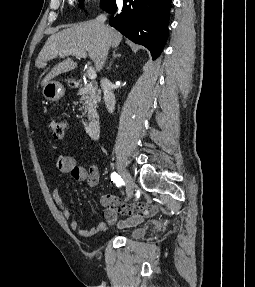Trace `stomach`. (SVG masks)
<instances>
[{
    "label": "stomach",
    "instance_id": "0dacf381",
    "mask_svg": "<svg viewBox=\"0 0 255 287\" xmlns=\"http://www.w3.org/2000/svg\"><path fill=\"white\" fill-rule=\"evenodd\" d=\"M65 94V88L60 82H48L43 88V96L49 102H58Z\"/></svg>",
    "mask_w": 255,
    "mask_h": 287
}]
</instances>
